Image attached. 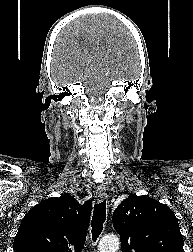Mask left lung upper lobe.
I'll return each mask as SVG.
<instances>
[{"mask_svg":"<svg viewBox=\"0 0 193 252\" xmlns=\"http://www.w3.org/2000/svg\"><path fill=\"white\" fill-rule=\"evenodd\" d=\"M113 226L122 252H184L178 220L166 205L130 194L115 209Z\"/></svg>","mask_w":193,"mask_h":252,"instance_id":"obj_1","label":"left lung upper lobe"}]
</instances>
